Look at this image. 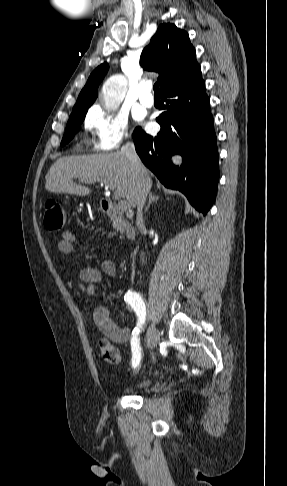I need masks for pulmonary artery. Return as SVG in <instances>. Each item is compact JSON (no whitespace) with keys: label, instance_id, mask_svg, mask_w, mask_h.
<instances>
[{"label":"pulmonary artery","instance_id":"obj_1","mask_svg":"<svg viewBox=\"0 0 287 486\" xmlns=\"http://www.w3.org/2000/svg\"><path fill=\"white\" fill-rule=\"evenodd\" d=\"M151 84L146 83L141 87L140 93H139V101L142 105L146 107H151L154 104V98L151 94Z\"/></svg>","mask_w":287,"mask_h":486}]
</instances>
